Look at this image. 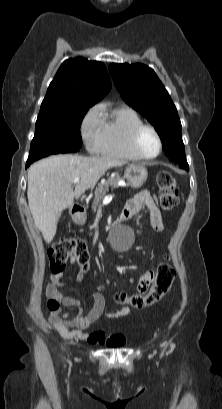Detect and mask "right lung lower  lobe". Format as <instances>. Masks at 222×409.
Segmentation results:
<instances>
[{
  "mask_svg": "<svg viewBox=\"0 0 222 409\" xmlns=\"http://www.w3.org/2000/svg\"><path fill=\"white\" fill-rule=\"evenodd\" d=\"M31 163H26V168L30 165Z\"/></svg>",
  "mask_w": 222,
  "mask_h": 409,
  "instance_id": "98d812e1",
  "label": "right lung lower lobe"
}]
</instances>
